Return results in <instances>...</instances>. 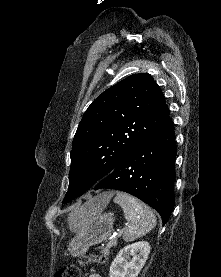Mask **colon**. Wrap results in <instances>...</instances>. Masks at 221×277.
<instances>
[{"label": "colon", "instance_id": "colon-1", "mask_svg": "<svg viewBox=\"0 0 221 277\" xmlns=\"http://www.w3.org/2000/svg\"><path fill=\"white\" fill-rule=\"evenodd\" d=\"M101 258H98L96 255H90L81 258L77 264H70L60 268L55 277H81V266H85L91 262H100Z\"/></svg>", "mask_w": 221, "mask_h": 277}]
</instances>
